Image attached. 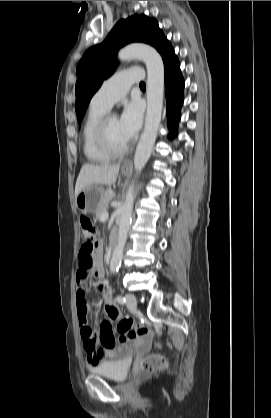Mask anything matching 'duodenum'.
<instances>
[{
	"instance_id": "duodenum-1",
	"label": "duodenum",
	"mask_w": 271,
	"mask_h": 418,
	"mask_svg": "<svg viewBox=\"0 0 271 418\" xmlns=\"http://www.w3.org/2000/svg\"><path fill=\"white\" fill-rule=\"evenodd\" d=\"M117 239H118V234L116 231H113L111 238H110V246H109L110 252H112L114 248L116 247Z\"/></svg>"
}]
</instances>
